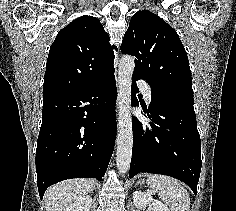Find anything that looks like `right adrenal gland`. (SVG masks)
Listing matches in <instances>:
<instances>
[{
    "mask_svg": "<svg viewBox=\"0 0 236 211\" xmlns=\"http://www.w3.org/2000/svg\"><path fill=\"white\" fill-rule=\"evenodd\" d=\"M93 190H96L95 184L93 185V189H92V191H93Z\"/></svg>",
    "mask_w": 236,
    "mask_h": 211,
    "instance_id": "obj_1",
    "label": "right adrenal gland"
}]
</instances>
